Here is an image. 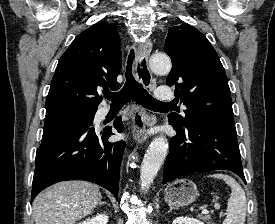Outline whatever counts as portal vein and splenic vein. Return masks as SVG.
Returning a JSON list of instances; mask_svg holds the SVG:
<instances>
[{
	"label": "portal vein and splenic vein",
	"instance_id": "18ae733b",
	"mask_svg": "<svg viewBox=\"0 0 275 224\" xmlns=\"http://www.w3.org/2000/svg\"><path fill=\"white\" fill-rule=\"evenodd\" d=\"M202 214H207L209 213V211L206 209V208H203L202 211H201Z\"/></svg>",
	"mask_w": 275,
	"mask_h": 224
}]
</instances>
